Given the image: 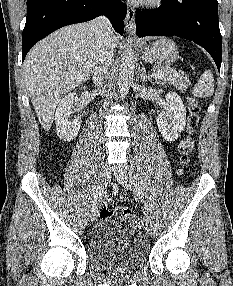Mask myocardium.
Returning a JSON list of instances; mask_svg holds the SVG:
<instances>
[{"label": "myocardium", "instance_id": "1", "mask_svg": "<svg viewBox=\"0 0 233 286\" xmlns=\"http://www.w3.org/2000/svg\"><path fill=\"white\" fill-rule=\"evenodd\" d=\"M163 0H141L137 1L138 4L147 6V7H156L161 5Z\"/></svg>", "mask_w": 233, "mask_h": 286}]
</instances>
